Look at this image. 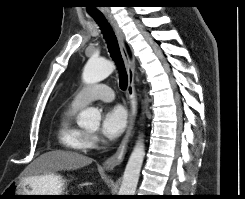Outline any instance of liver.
<instances>
[{"instance_id": "6515ba94", "label": "liver", "mask_w": 245, "mask_h": 199, "mask_svg": "<svg viewBox=\"0 0 245 199\" xmlns=\"http://www.w3.org/2000/svg\"><path fill=\"white\" fill-rule=\"evenodd\" d=\"M92 158L82 154L63 150H54L42 154L30 167L29 177L41 173L56 172L61 170H76L92 163Z\"/></svg>"}]
</instances>
